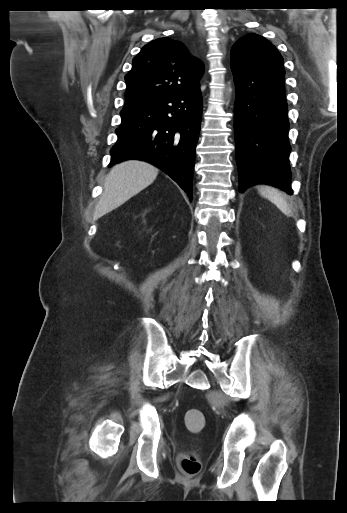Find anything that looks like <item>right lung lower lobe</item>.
I'll return each instance as SVG.
<instances>
[{
	"instance_id": "1",
	"label": "right lung lower lobe",
	"mask_w": 347,
	"mask_h": 513,
	"mask_svg": "<svg viewBox=\"0 0 347 513\" xmlns=\"http://www.w3.org/2000/svg\"><path fill=\"white\" fill-rule=\"evenodd\" d=\"M110 166L128 159L147 161L167 173L192 200L195 149L200 131V90L123 109Z\"/></svg>"
}]
</instances>
